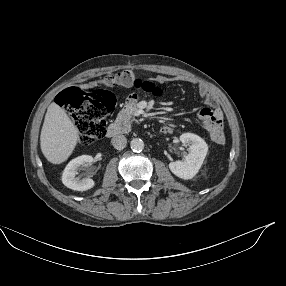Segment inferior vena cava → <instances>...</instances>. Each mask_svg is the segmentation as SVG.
<instances>
[{"label": "inferior vena cava", "instance_id": "602c4592", "mask_svg": "<svg viewBox=\"0 0 286 286\" xmlns=\"http://www.w3.org/2000/svg\"><path fill=\"white\" fill-rule=\"evenodd\" d=\"M112 144L115 149L122 150L127 144V139L124 135H117L112 139Z\"/></svg>", "mask_w": 286, "mask_h": 286}]
</instances>
